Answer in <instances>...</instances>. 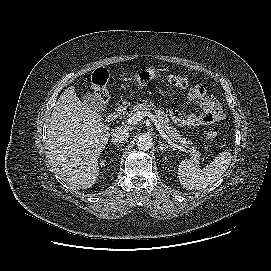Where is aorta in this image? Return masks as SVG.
<instances>
[{
    "instance_id": "762f6f07",
    "label": "aorta",
    "mask_w": 271,
    "mask_h": 271,
    "mask_svg": "<svg viewBox=\"0 0 271 271\" xmlns=\"http://www.w3.org/2000/svg\"><path fill=\"white\" fill-rule=\"evenodd\" d=\"M137 147L141 150H149L153 144L152 139L148 135H141L137 139Z\"/></svg>"
}]
</instances>
